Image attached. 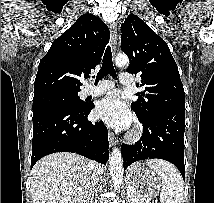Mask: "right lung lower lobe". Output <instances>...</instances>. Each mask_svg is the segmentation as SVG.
I'll return each instance as SVG.
<instances>
[{"label": "right lung lower lobe", "mask_w": 214, "mask_h": 203, "mask_svg": "<svg viewBox=\"0 0 214 203\" xmlns=\"http://www.w3.org/2000/svg\"><path fill=\"white\" fill-rule=\"evenodd\" d=\"M93 107H52L33 114L31 168L40 158L56 152H73L106 164L108 131L102 121H88Z\"/></svg>", "instance_id": "obj_1"}]
</instances>
